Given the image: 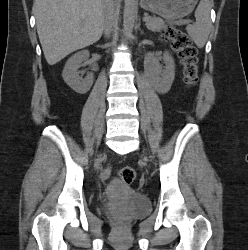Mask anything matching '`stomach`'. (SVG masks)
<instances>
[{"label":"stomach","instance_id":"obj_1","mask_svg":"<svg viewBox=\"0 0 248 250\" xmlns=\"http://www.w3.org/2000/svg\"><path fill=\"white\" fill-rule=\"evenodd\" d=\"M198 0H140L143 9L166 19H181L192 12Z\"/></svg>","mask_w":248,"mask_h":250}]
</instances>
